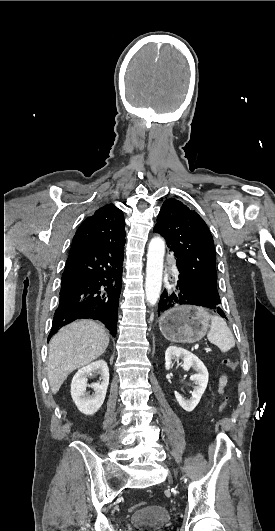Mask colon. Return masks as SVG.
Segmentation results:
<instances>
[{"mask_svg":"<svg viewBox=\"0 0 275 531\" xmlns=\"http://www.w3.org/2000/svg\"><path fill=\"white\" fill-rule=\"evenodd\" d=\"M224 366L226 368H228V369L235 370L238 367V363L234 359H226V360H224ZM229 403H230V400H229L228 397H226V396L221 397L220 400H219L218 411L220 413H224L226 411V409L228 408ZM143 507H145V503L144 502H138L132 508L133 509H137V508H143Z\"/></svg>","mask_w":275,"mask_h":531,"instance_id":"obj_1","label":"colon"}]
</instances>
